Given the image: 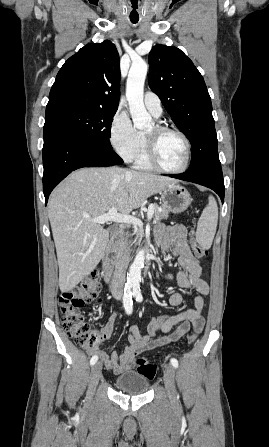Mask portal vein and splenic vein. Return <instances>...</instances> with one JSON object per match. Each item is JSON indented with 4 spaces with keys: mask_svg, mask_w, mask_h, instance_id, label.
I'll return each instance as SVG.
<instances>
[{
    "mask_svg": "<svg viewBox=\"0 0 269 447\" xmlns=\"http://www.w3.org/2000/svg\"><path fill=\"white\" fill-rule=\"evenodd\" d=\"M148 212L145 223L150 225L153 220V214L156 209L155 204L150 203L147 206ZM83 218H88L91 220L90 216H83ZM92 222H96V224H105V222H121V224H132L138 225V227H143V222L138 220V218H134V216H126V214H117V208H111L107 214L104 216H98V218H93Z\"/></svg>",
    "mask_w": 269,
    "mask_h": 447,
    "instance_id": "18ae733b",
    "label": "portal vein and splenic vein"
}]
</instances>
